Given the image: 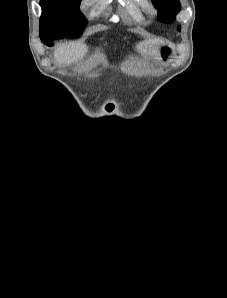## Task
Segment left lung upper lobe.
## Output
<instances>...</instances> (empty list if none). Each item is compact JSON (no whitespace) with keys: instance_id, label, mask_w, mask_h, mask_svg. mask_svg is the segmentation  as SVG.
I'll return each mask as SVG.
<instances>
[{"instance_id":"1","label":"left lung upper lobe","mask_w":227,"mask_h":298,"mask_svg":"<svg viewBox=\"0 0 227 298\" xmlns=\"http://www.w3.org/2000/svg\"><path fill=\"white\" fill-rule=\"evenodd\" d=\"M152 2L154 6L158 8L159 19L166 23L173 22L175 20L176 14L181 8L179 0H152Z\"/></svg>"}]
</instances>
